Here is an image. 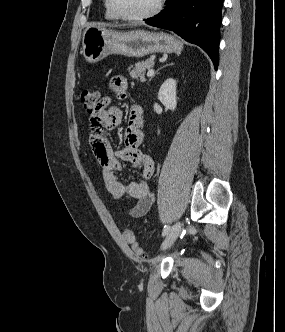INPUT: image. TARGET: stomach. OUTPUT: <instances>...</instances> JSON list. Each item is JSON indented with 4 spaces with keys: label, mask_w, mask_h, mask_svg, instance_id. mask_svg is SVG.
<instances>
[{
    "label": "stomach",
    "mask_w": 285,
    "mask_h": 332,
    "mask_svg": "<svg viewBox=\"0 0 285 332\" xmlns=\"http://www.w3.org/2000/svg\"><path fill=\"white\" fill-rule=\"evenodd\" d=\"M182 47L178 39L163 32H116L90 26L83 32L81 54L87 62L96 63L110 54L139 58L152 53L179 52Z\"/></svg>",
    "instance_id": "0dacf381"
}]
</instances>
